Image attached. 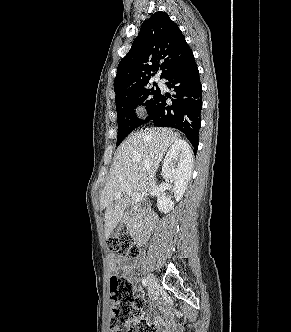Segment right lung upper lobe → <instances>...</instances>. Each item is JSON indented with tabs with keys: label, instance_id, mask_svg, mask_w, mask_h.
<instances>
[{
	"label": "right lung upper lobe",
	"instance_id": "1",
	"mask_svg": "<svg viewBox=\"0 0 291 332\" xmlns=\"http://www.w3.org/2000/svg\"><path fill=\"white\" fill-rule=\"evenodd\" d=\"M184 35L165 12L145 21L128 54L120 61L114 80L115 100L147 86L159 68L164 78L171 70L193 58Z\"/></svg>",
	"mask_w": 291,
	"mask_h": 332
}]
</instances>
